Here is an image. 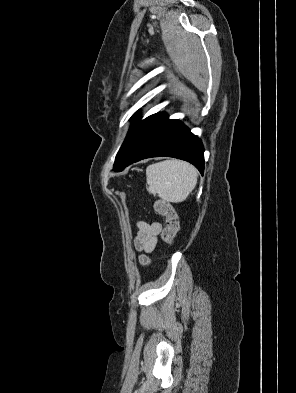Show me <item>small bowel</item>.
<instances>
[{
  "instance_id": "obj_1",
  "label": "small bowel",
  "mask_w": 296,
  "mask_h": 393,
  "mask_svg": "<svg viewBox=\"0 0 296 393\" xmlns=\"http://www.w3.org/2000/svg\"><path fill=\"white\" fill-rule=\"evenodd\" d=\"M136 226L138 231L134 239V245L138 251L144 253L140 257L141 263L148 264L149 259L145 254L150 253L155 249L163 226L158 221L148 223L142 220L137 221Z\"/></svg>"
}]
</instances>
